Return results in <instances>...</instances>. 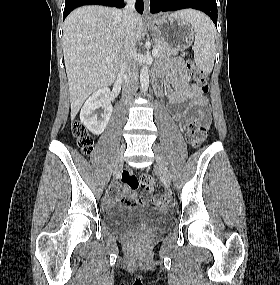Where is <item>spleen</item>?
I'll return each mask as SVG.
<instances>
[{"label":"spleen","mask_w":280,"mask_h":285,"mask_svg":"<svg viewBox=\"0 0 280 285\" xmlns=\"http://www.w3.org/2000/svg\"><path fill=\"white\" fill-rule=\"evenodd\" d=\"M192 25L195 31L194 59L197 67L205 73H210L215 60V27L212 21L203 13L184 10L173 14Z\"/></svg>","instance_id":"spleen-1"}]
</instances>
